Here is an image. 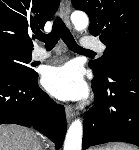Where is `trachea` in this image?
Masks as SVG:
<instances>
[{
	"label": "trachea",
	"instance_id": "obj_1",
	"mask_svg": "<svg viewBox=\"0 0 139 150\" xmlns=\"http://www.w3.org/2000/svg\"><path fill=\"white\" fill-rule=\"evenodd\" d=\"M61 37L65 44L74 52L94 53L93 51L83 49L76 43L69 29L59 17L54 21L52 31L49 34L37 35V39L45 43L46 49L54 48Z\"/></svg>",
	"mask_w": 139,
	"mask_h": 150
}]
</instances>
